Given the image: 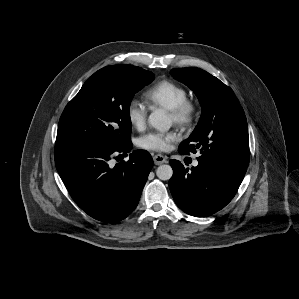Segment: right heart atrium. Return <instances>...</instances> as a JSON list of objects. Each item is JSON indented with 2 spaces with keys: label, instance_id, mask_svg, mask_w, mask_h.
I'll return each mask as SVG.
<instances>
[{
  "label": "right heart atrium",
  "instance_id": "obj_1",
  "mask_svg": "<svg viewBox=\"0 0 299 299\" xmlns=\"http://www.w3.org/2000/svg\"><path fill=\"white\" fill-rule=\"evenodd\" d=\"M126 118L133 128L141 130L146 125L147 110L138 99L133 98L126 106Z\"/></svg>",
  "mask_w": 299,
  "mask_h": 299
}]
</instances>
